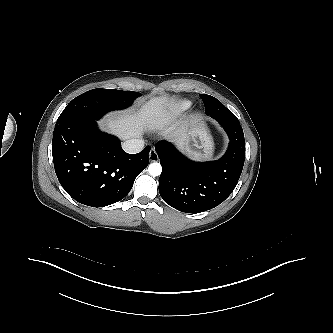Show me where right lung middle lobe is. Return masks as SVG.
<instances>
[{"mask_svg": "<svg viewBox=\"0 0 333 333\" xmlns=\"http://www.w3.org/2000/svg\"><path fill=\"white\" fill-rule=\"evenodd\" d=\"M139 92L114 89H93L74 98L61 113L60 119L98 120L107 112L132 104Z\"/></svg>", "mask_w": 333, "mask_h": 333, "instance_id": "1", "label": "right lung middle lobe"}]
</instances>
